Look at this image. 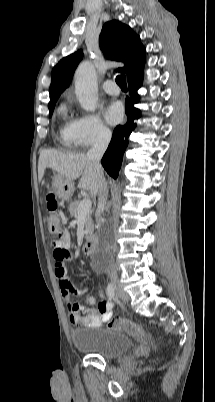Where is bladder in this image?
I'll list each match as a JSON object with an SVG mask.
<instances>
[{"label":"bladder","mask_w":215,"mask_h":402,"mask_svg":"<svg viewBox=\"0 0 215 402\" xmlns=\"http://www.w3.org/2000/svg\"><path fill=\"white\" fill-rule=\"evenodd\" d=\"M74 347L82 353L104 359L119 357L132 348L126 334L109 328H86L72 333Z\"/></svg>","instance_id":"bladder-1"}]
</instances>
